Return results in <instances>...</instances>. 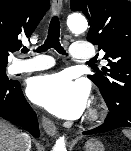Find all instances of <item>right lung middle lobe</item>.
I'll use <instances>...</instances> for the list:
<instances>
[{
  "mask_svg": "<svg viewBox=\"0 0 131 151\" xmlns=\"http://www.w3.org/2000/svg\"><path fill=\"white\" fill-rule=\"evenodd\" d=\"M6 66H7V62L0 63V82L9 81V79L6 75V72H5Z\"/></svg>",
  "mask_w": 131,
  "mask_h": 151,
  "instance_id": "1",
  "label": "right lung middle lobe"
}]
</instances>
